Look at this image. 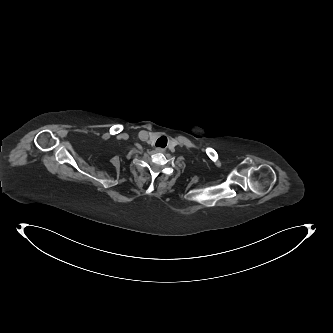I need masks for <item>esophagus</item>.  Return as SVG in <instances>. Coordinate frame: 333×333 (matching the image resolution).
I'll use <instances>...</instances> for the list:
<instances>
[{"label": "esophagus", "mask_w": 333, "mask_h": 333, "mask_svg": "<svg viewBox=\"0 0 333 333\" xmlns=\"http://www.w3.org/2000/svg\"><path fill=\"white\" fill-rule=\"evenodd\" d=\"M156 151H157V152H163V151H164V149H163V148H160V147H158V148H156Z\"/></svg>", "instance_id": "1"}]
</instances>
